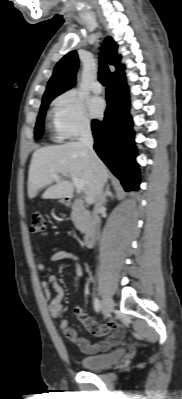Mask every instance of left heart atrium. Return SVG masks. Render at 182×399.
Here are the masks:
<instances>
[{"mask_svg": "<svg viewBox=\"0 0 182 399\" xmlns=\"http://www.w3.org/2000/svg\"><path fill=\"white\" fill-rule=\"evenodd\" d=\"M88 109L93 117H99L104 110V102L99 97H92L88 100Z\"/></svg>", "mask_w": 182, "mask_h": 399, "instance_id": "1", "label": "left heart atrium"}]
</instances>
